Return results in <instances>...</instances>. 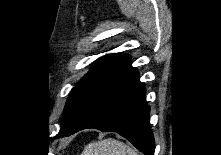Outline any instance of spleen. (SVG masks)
<instances>
[{"label":"spleen","instance_id":"1","mask_svg":"<svg viewBox=\"0 0 221 155\" xmlns=\"http://www.w3.org/2000/svg\"><path fill=\"white\" fill-rule=\"evenodd\" d=\"M81 155H138V152L122 141L107 138L88 144Z\"/></svg>","mask_w":221,"mask_h":155}]
</instances>
